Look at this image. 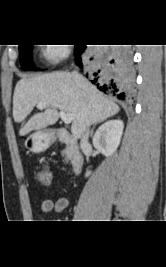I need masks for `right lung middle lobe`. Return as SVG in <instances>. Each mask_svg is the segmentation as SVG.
<instances>
[{"instance_id": "dd1d6c3e", "label": "right lung middle lobe", "mask_w": 166, "mask_h": 267, "mask_svg": "<svg viewBox=\"0 0 166 267\" xmlns=\"http://www.w3.org/2000/svg\"><path fill=\"white\" fill-rule=\"evenodd\" d=\"M31 50L32 45H19L20 63L24 70H36L32 62Z\"/></svg>"}]
</instances>
